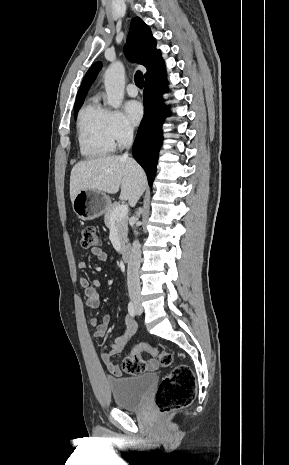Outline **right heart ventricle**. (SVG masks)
I'll list each match as a JSON object with an SVG mask.
<instances>
[{
	"instance_id": "right-heart-ventricle-1",
	"label": "right heart ventricle",
	"mask_w": 289,
	"mask_h": 465,
	"mask_svg": "<svg viewBox=\"0 0 289 465\" xmlns=\"http://www.w3.org/2000/svg\"><path fill=\"white\" fill-rule=\"evenodd\" d=\"M109 110L96 97L91 98L77 116V137L81 154L100 158L114 151L115 142L109 130Z\"/></svg>"
}]
</instances>
